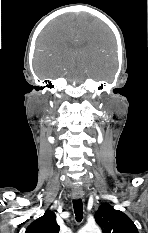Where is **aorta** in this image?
I'll use <instances>...</instances> for the list:
<instances>
[{
  "instance_id": "aorta-1",
  "label": "aorta",
  "mask_w": 148,
  "mask_h": 233,
  "mask_svg": "<svg viewBox=\"0 0 148 233\" xmlns=\"http://www.w3.org/2000/svg\"><path fill=\"white\" fill-rule=\"evenodd\" d=\"M78 233H101V229L97 225H86Z\"/></svg>"
}]
</instances>
